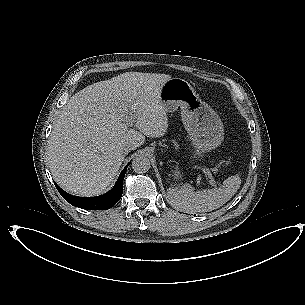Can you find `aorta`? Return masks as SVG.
<instances>
[{"mask_svg": "<svg viewBox=\"0 0 305 305\" xmlns=\"http://www.w3.org/2000/svg\"><path fill=\"white\" fill-rule=\"evenodd\" d=\"M131 167L136 173H146L151 167L150 160L148 156L144 154L137 155L133 159Z\"/></svg>", "mask_w": 305, "mask_h": 305, "instance_id": "obj_1", "label": "aorta"}]
</instances>
